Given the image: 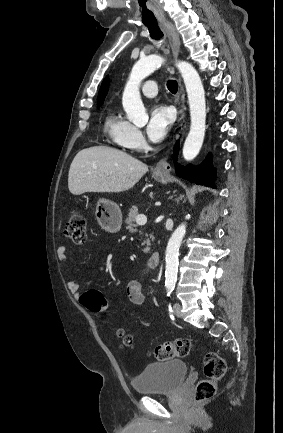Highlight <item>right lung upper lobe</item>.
<instances>
[{
    "label": "right lung upper lobe",
    "instance_id": "cb5924a9",
    "mask_svg": "<svg viewBox=\"0 0 283 433\" xmlns=\"http://www.w3.org/2000/svg\"><path fill=\"white\" fill-rule=\"evenodd\" d=\"M108 86H109V79L108 76L104 79L99 94H98V99H97V107H100L104 101V98L108 92Z\"/></svg>",
    "mask_w": 283,
    "mask_h": 433
}]
</instances>
